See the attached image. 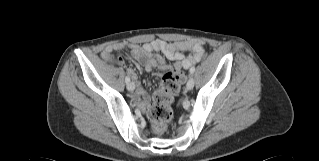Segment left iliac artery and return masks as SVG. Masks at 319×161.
Segmentation results:
<instances>
[{
    "label": "left iliac artery",
    "instance_id": "obj_1",
    "mask_svg": "<svg viewBox=\"0 0 319 161\" xmlns=\"http://www.w3.org/2000/svg\"><path fill=\"white\" fill-rule=\"evenodd\" d=\"M189 72H190V74H193V73L195 72V67L192 66V67L190 68Z\"/></svg>",
    "mask_w": 319,
    "mask_h": 161
}]
</instances>
